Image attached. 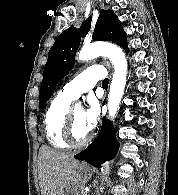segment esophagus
Returning <instances> with one entry per match:
<instances>
[{
  "label": "esophagus",
  "instance_id": "esophagus-1",
  "mask_svg": "<svg viewBox=\"0 0 178 195\" xmlns=\"http://www.w3.org/2000/svg\"><path fill=\"white\" fill-rule=\"evenodd\" d=\"M103 63L108 68V70H109V72L111 74V72H112V66H111L110 62H108L107 60H103ZM81 166H88V164L86 162H82L81 163Z\"/></svg>",
  "mask_w": 178,
  "mask_h": 195
}]
</instances>
